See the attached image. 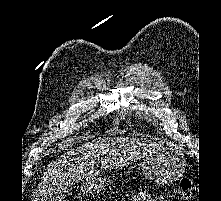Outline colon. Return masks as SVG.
Listing matches in <instances>:
<instances>
[{"label":"colon","instance_id":"colon-1","mask_svg":"<svg viewBox=\"0 0 221 201\" xmlns=\"http://www.w3.org/2000/svg\"><path fill=\"white\" fill-rule=\"evenodd\" d=\"M179 195L182 201H194L195 189L189 178H182L180 180Z\"/></svg>","mask_w":221,"mask_h":201}]
</instances>
